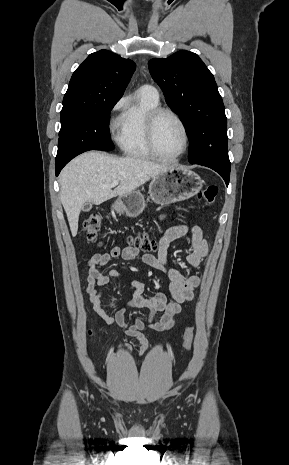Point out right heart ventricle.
<instances>
[{
  "label": "right heart ventricle",
  "instance_id": "e07e8e85",
  "mask_svg": "<svg viewBox=\"0 0 289 465\" xmlns=\"http://www.w3.org/2000/svg\"><path fill=\"white\" fill-rule=\"evenodd\" d=\"M159 106V98L140 88L134 101L127 103L119 120L117 143L128 156L152 159L146 140V119L149 112Z\"/></svg>",
  "mask_w": 289,
  "mask_h": 465
}]
</instances>
